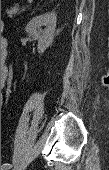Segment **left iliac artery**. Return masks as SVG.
<instances>
[{
    "label": "left iliac artery",
    "mask_w": 109,
    "mask_h": 170,
    "mask_svg": "<svg viewBox=\"0 0 109 170\" xmlns=\"http://www.w3.org/2000/svg\"><path fill=\"white\" fill-rule=\"evenodd\" d=\"M11 166H12V165H11L10 163L3 164L1 170H8V169L11 168Z\"/></svg>",
    "instance_id": "44dca946"
}]
</instances>
